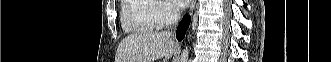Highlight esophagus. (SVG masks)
Masks as SVG:
<instances>
[{
  "label": "esophagus",
  "mask_w": 331,
  "mask_h": 62,
  "mask_svg": "<svg viewBox=\"0 0 331 62\" xmlns=\"http://www.w3.org/2000/svg\"><path fill=\"white\" fill-rule=\"evenodd\" d=\"M195 2H196V0H193L192 1V4H191V6H190V8H189V12L191 13L193 10H194V8H195Z\"/></svg>",
  "instance_id": "34e87169"
}]
</instances>
